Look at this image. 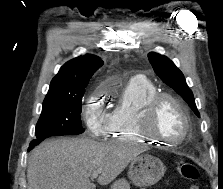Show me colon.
I'll return each instance as SVG.
<instances>
[{"mask_svg": "<svg viewBox=\"0 0 223 189\" xmlns=\"http://www.w3.org/2000/svg\"><path fill=\"white\" fill-rule=\"evenodd\" d=\"M178 171L183 178L191 182L189 189H199L196 183L199 178V171L193 163L181 162L178 165Z\"/></svg>", "mask_w": 223, "mask_h": 189, "instance_id": "1", "label": "colon"}]
</instances>
